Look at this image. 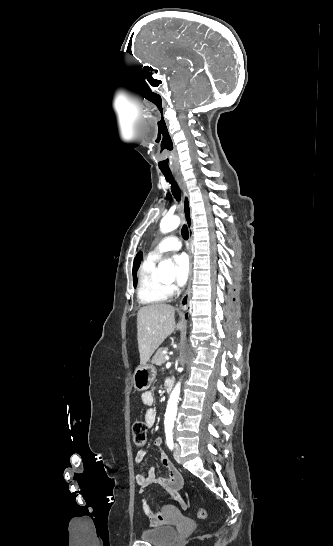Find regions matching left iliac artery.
<instances>
[{
	"mask_svg": "<svg viewBox=\"0 0 333 546\" xmlns=\"http://www.w3.org/2000/svg\"><path fill=\"white\" fill-rule=\"evenodd\" d=\"M165 434H166V443H167L169 449L172 450L173 447H174L172 429H167V430L165 431Z\"/></svg>",
	"mask_w": 333,
	"mask_h": 546,
	"instance_id": "1",
	"label": "left iliac artery"
}]
</instances>
